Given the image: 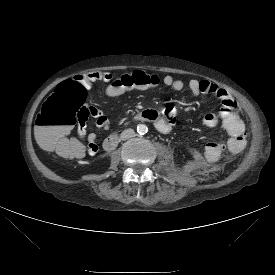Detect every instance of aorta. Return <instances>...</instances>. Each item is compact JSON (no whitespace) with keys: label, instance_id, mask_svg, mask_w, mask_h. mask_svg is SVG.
I'll use <instances>...</instances> for the list:
<instances>
[{"label":"aorta","instance_id":"obj_1","mask_svg":"<svg viewBox=\"0 0 275 275\" xmlns=\"http://www.w3.org/2000/svg\"><path fill=\"white\" fill-rule=\"evenodd\" d=\"M147 131H148V128H147L146 125H144V124H139V125L137 126V132H138L139 134L143 135V134L147 133Z\"/></svg>","mask_w":275,"mask_h":275}]
</instances>
